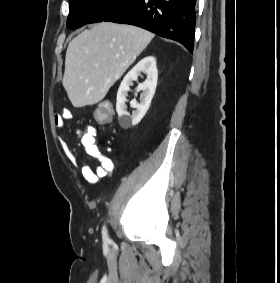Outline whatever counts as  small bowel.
Returning <instances> with one entry per match:
<instances>
[{"label":"small bowel","mask_w":280,"mask_h":283,"mask_svg":"<svg viewBox=\"0 0 280 283\" xmlns=\"http://www.w3.org/2000/svg\"><path fill=\"white\" fill-rule=\"evenodd\" d=\"M74 118L73 113L65 109L58 113L54 117V123L56 127L61 128L67 121ZM96 132H80L81 144L85 149V152L98 160L99 165L96 169H93L89 164L83 163L80 166V172L84 180L91 184L96 185L100 179L107 176L114 168V163L111 158L101 153L99 147L96 144L95 138ZM61 148L66 159L74 166H78V159L75 152L64 142H61Z\"/></svg>","instance_id":"c3829d8e"}]
</instances>
